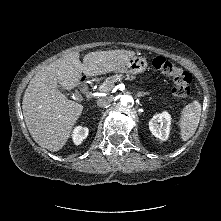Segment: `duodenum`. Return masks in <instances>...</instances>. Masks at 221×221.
<instances>
[{"label": "duodenum", "instance_id": "obj_1", "mask_svg": "<svg viewBox=\"0 0 221 221\" xmlns=\"http://www.w3.org/2000/svg\"><path fill=\"white\" fill-rule=\"evenodd\" d=\"M80 87L83 90V92H85V93L88 92V84H87V78L86 77L81 78Z\"/></svg>", "mask_w": 221, "mask_h": 221}]
</instances>
